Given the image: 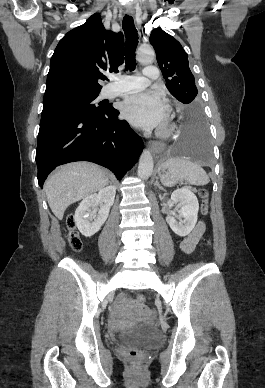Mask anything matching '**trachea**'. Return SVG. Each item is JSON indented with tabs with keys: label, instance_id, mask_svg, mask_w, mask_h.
I'll use <instances>...</instances> for the list:
<instances>
[{
	"label": "trachea",
	"instance_id": "trachea-1",
	"mask_svg": "<svg viewBox=\"0 0 265 388\" xmlns=\"http://www.w3.org/2000/svg\"><path fill=\"white\" fill-rule=\"evenodd\" d=\"M122 26L126 36V68L134 70L136 66L135 51L138 44V35L133 18L130 15H125V17L123 18Z\"/></svg>",
	"mask_w": 265,
	"mask_h": 388
}]
</instances>
